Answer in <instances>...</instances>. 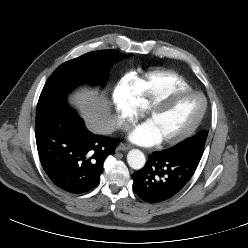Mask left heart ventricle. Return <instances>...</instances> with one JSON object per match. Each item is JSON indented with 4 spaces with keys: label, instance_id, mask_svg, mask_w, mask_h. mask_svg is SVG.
I'll list each match as a JSON object with an SVG mask.
<instances>
[{
    "label": "left heart ventricle",
    "instance_id": "obj_1",
    "mask_svg": "<svg viewBox=\"0 0 248 248\" xmlns=\"http://www.w3.org/2000/svg\"><path fill=\"white\" fill-rule=\"evenodd\" d=\"M202 99L197 95H187L176 99L163 109L151 115L147 121L152 125L161 140L179 135L199 116Z\"/></svg>",
    "mask_w": 248,
    "mask_h": 248
}]
</instances>
